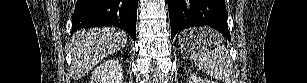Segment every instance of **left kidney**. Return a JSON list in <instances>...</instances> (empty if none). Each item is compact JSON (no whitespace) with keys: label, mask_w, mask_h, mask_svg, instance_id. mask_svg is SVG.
I'll list each match as a JSON object with an SVG mask.
<instances>
[{"label":"left kidney","mask_w":307,"mask_h":83,"mask_svg":"<svg viewBox=\"0 0 307 83\" xmlns=\"http://www.w3.org/2000/svg\"><path fill=\"white\" fill-rule=\"evenodd\" d=\"M188 83H211V82L205 78L192 75L189 77Z\"/></svg>","instance_id":"1"}]
</instances>
